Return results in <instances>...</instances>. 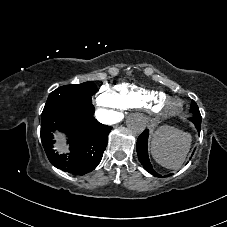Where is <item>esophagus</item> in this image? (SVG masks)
I'll use <instances>...</instances> for the list:
<instances>
[{
    "instance_id": "34e87169",
    "label": "esophagus",
    "mask_w": 227,
    "mask_h": 227,
    "mask_svg": "<svg viewBox=\"0 0 227 227\" xmlns=\"http://www.w3.org/2000/svg\"><path fill=\"white\" fill-rule=\"evenodd\" d=\"M143 124L148 128V129H153L155 127V120L153 117L148 116L143 119Z\"/></svg>"
}]
</instances>
